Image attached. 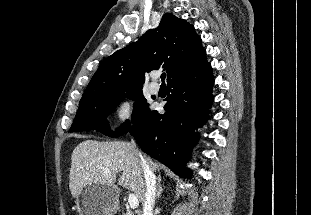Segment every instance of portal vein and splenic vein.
Segmentation results:
<instances>
[{"label": "portal vein and splenic vein", "instance_id": "1", "mask_svg": "<svg viewBox=\"0 0 311 215\" xmlns=\"http://www.w3.org/2000/svg\"><path fill=\"white\" fill-rule=\"evenodd\" d=\"M105 172H109V170L105 169ZM128 203L131 209H135L139 205L138 199L134 194H130L128 196Z\"/></svg>", "mask_w": 311, "mask_h": 215}]
</instances>
